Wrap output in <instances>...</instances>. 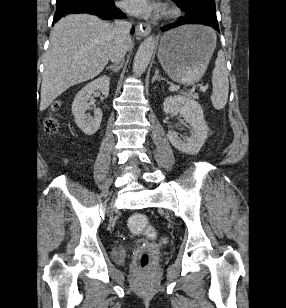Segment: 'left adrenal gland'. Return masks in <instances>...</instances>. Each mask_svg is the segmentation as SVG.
Listing matches in <instances>:
<instances>
[{
    "mask_svg": "<svg viewBox=\"0 0 286 308\" xmlns=\"http://www.w3.org/2000/svg\"><path fill=\"white\" fill-rule=\"evenodd\" d=\"M155 81H158V82H160L161 81V78H160V76H159V69H156L155 70V74H154V76H153V78H152V84L155 82Z\"/></svg>",
    "mask_w": 286,
    "mask_h": 308,
    "instance_id": "1",
    "label": "left adrenal gland"
}]
</instances>
